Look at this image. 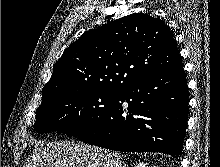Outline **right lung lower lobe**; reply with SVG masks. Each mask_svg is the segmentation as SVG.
<instances>
[{
	"instance_id": "obj_1",
	"label": "right lung lower lobe",
	"mask_w": 220,
	"mask_h": 167,
	"mask_svg": "<svg viewBox=\"0 0 220 167\" xmlns=\"http://www.w3.org/2000/svg\"><path fill=\"white\" fill-rule=\"evenodd\" d=\"M187 119L188 88L181 65L121 89L104 117L78 138L111 150L162 152L178 158Z\"/></svg>"
}]
</instances>
